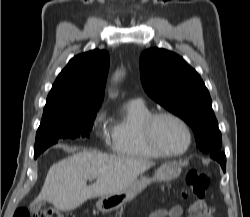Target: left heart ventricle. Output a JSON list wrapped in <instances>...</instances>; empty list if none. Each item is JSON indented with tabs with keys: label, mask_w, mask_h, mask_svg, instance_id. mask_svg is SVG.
<instances>
[{
	"label": "left heart ventricle",
	"mask_w": 250,
	"mask_h": 217,
	"mask_svg": "<svg viewBox=\"0 0 250 217\" xmlns=\"http://www.w3.org/2000/svg\"><path fill=\"white\" fill-rule=\"evenodd\" d=\"M156 137L161 146L169 151H180L188 142L183 127L171 119H160L157 122Z\"/></svg>",
	"instance_id": "1"
}]
</instances>
